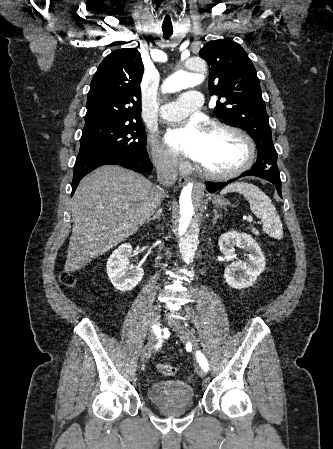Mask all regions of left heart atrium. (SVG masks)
Masks as SVG:
<instances>
[{
	"label": "left heart atrium",
	"instance_id": "1",
	"mask_svg": "<svg viewBox=\"0 0 333 449\" xmlns=\"http://www.w3.org/2000/svg\"><path fill=\"white\" fill-rule=\"evenodd\" d=\"M204 137V130L196 122L192 121L168 131L165 135V142L172 150L197 160Z\"/></svg>",
	"mask_w": 333,
	"mask_h": 449
}]
</instances>
